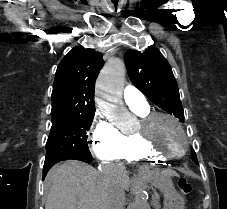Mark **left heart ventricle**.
<instances>
[{
  "mask_svg": "<svg viewBox=\"0 0 227 209\" xmlns=\"http://www.w3.org/2000/svg\"><path fill=\"white\" fill-rule=\"evenodd\" d=\"M149 140L163 153H180L186 144L185 136L169 119L158 118L147 130Z\"/></svg>",
  "mask_w": 227,
  "mask_h": 209,
  "instance_id": "left-heart-ventricle-1",
  "label": "left heart ventricle"
}]
</instances>
